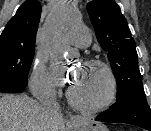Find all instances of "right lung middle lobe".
I'll list each match as a JSON object with an SVG mask.
<instances>
[{
    "label": "right lung middle lobe",
    "mask_w": 151,
    "mask_h": 131,
    "mask_svg": "<svg viewBox=\"0 0 151 131\" xmlns=\"http://www.w3.org/2000/svg\"><path fill=\"white\" fill-rule=\"evenodd\" d=\"M34 57V46L17 42L0 44V92L20 93Z\"/></svg>",
    "instance_id": "right-lung-middle-lobe-1"
}]
</instances>
